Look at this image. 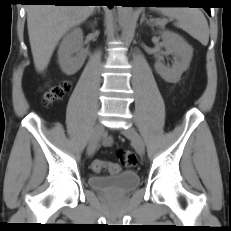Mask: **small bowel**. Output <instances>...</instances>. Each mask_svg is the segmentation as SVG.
Listing matches in <instances>:
<instances>
[{"label": "small bowel", "mask_w": 231, "mask_h": 231, "mask_svg": "<svg viewBox=\"0 0 231 231\" xmlns=\"http://www.w3.org/2000/svg\"><path fill=\"white\" fill-rule=\"evenodd\" d=\"M105 145H110L111 144V139H106L105 142H104Z\"/></svg>", "instance_id": "c3829d8e"}]
</instances>
